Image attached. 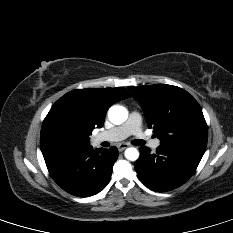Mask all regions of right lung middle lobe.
<instances>
[{
  "label": "right lung middle lobe",
  "mask_w": 233,
  "mask_h": 233,
  "mask_svg": "<svg viewBox=\"0 0 233 233\" xmlns=\"http://www.w3.org/2000/svg\"><path fill=\"white\" fill-rule=\"evenodd\" d=\"M82 130L59 116H46L43 121L40 135L41 150L63 147L80 148L83 142Z\"/></svg>",
  "instance_id": "dd1d6c3e"
}]
</instances>
